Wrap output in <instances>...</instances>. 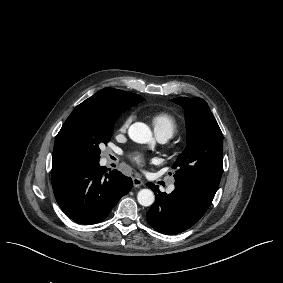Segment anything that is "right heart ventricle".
<instances>
[{
    "instance_id": "1",
    "label": "right heart ventricle",
    "mask_w": 283,
    "mask_h": 283,
    "mask_svg": "<svg viewBox=\"0 0 283 283\" xmlns=\"http://www.w3.org/2000/svg\"><path fill=\"white\" fill-rule=\"evenodd\" d=\"M151 123L157 136H164L167 139L174 136L178 130L177 120L166 113L152 116Z\"/></svg>"
}]
</instances>
